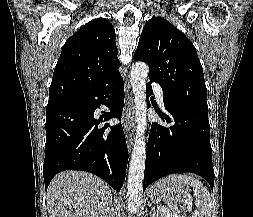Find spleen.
<instances>
[{"label": "spleen", "instance_id": "spleen-1", "mask_svg": "<svg viewBox=\"0 0 253 217\" xmlns=\"http://www.w3.org/2000/svg\"><path fill=\"white\" fill-rule=\"evenodd\" d=\"M169 178L179 184L193 187L195 204L198 209V217H211L212 203L207 188L196 178L187 174H173Z\"/></svg>", "mask_w": 253, "mask_h": 217}]
</instances>
